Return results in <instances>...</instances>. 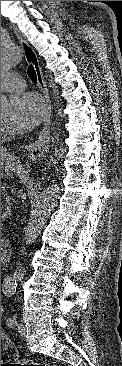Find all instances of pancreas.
Returning a JSON list of instances; mask_svg holds the SVG:
<instances>
[{"mask_svg": "<svg viewBox=\"0 0 122 366\" xmlns=\"http://www.w3.org/2000/svg\"><path fill=\"white\" fill-rule=\"evenodd\" d=\"M6 192V184L1 185V195H4Z\"/></svg>", "mask_w": 122, "mask_h": 366, "instance_id": "1", "label": "pancreas"}]
</instances>
